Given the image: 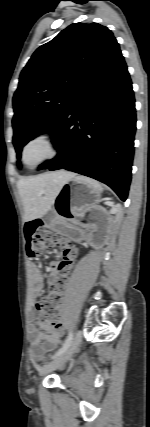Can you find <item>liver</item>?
Instances as JSON below:
<instances>
[{"label": "liver", "instance_id": "1", "mask_svg": "<svg viewBox=\"0 0 150 427\" xmlns=\"http://www.w3.org/2000/svg\"><path fill=\"white\" fill-rule=\"evenodd\" d=\"M73 178L74 173L60 170L20 179L17 187L25 210V221L45 215L61 187Z\"/></svg>", "mask_w": 150, "mask_h": 427}]
</instances>
